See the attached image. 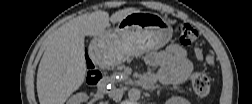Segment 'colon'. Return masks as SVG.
<instances>
[{"instance_id": "colon-1", "label": "colon", "mask_w": 252, "mask_h": 104, "mask_svg": "<svg viewBox=\"0 0 252 104\" xmlns=\"http://www.w3.org/2000/svg\"><path fill=\"white\" fill-rule=\"evenodd\" d=\"M177 33L180 43L187 47H191L198 41L199 38V32L188 23L178 24ZM197 57L200 60H204L208 63H213V59L210 56L204 55L200 51H197ZM100 78L101 74L99 70L91 62H88L85 77L86 83L89 85L95 84ZM191 83L194 92L199 97H206L210 93V80L205 74L194 73L191 76Z\"/></svg>"}]
</instances>
